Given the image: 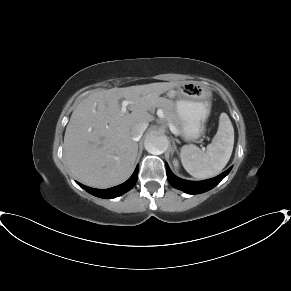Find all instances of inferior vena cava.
<instances>
[{"mask_svg":"<svg viewBox=\"0 0 291 291\" xmlns=\"http://www.w3.org/2000/svg\"><path fill=\"white\" fill-rule=\"evenodd\" d=\"M147 128V124H137L132 127L131 135L134 141H139L141 136L143 135L144 131Z\"/></svg>","mask_w":291,"mask_h":291,"instance_id":"602c4592","label":"inferior vena cava"}]
</instances>
